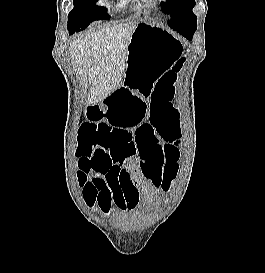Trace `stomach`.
Instances as JSON below:
<instances>
[{
    "mask_svg": "<svg viewBox=\"0 0 265 273\" xmlns=\"http://www.w3.org/2000/svg\"><path fill=\"white\" fill-rule=\"evenodd\" d=\"M181 47L179 39L168 30L139 23L128 46L125 80L122 85H116V90H131V95H150L147 89L173 65Z\"/></svg>",
    "mask_w": 265,
    "mask_h": 273,
    "instance_id": "1",
    "label": "stomach"
}]
</instances>
